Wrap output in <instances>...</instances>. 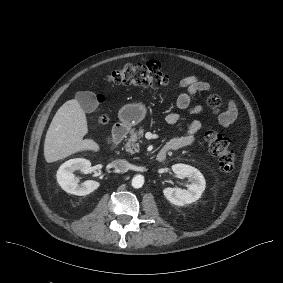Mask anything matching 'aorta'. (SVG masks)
<instances>
[{"label":"aorta","mask_w":283,"mask_h":283,"mask_svg":"<svg viewBox=\"0 0 283 283\" xmlns=\"http://www.w3.org/2000/svg\"><path fill=\"white\" fill-rule=\"evenodd\" d=\"M131 184L133 188H141L144 184V177L142 175H135Z\"/></svg>","instance_id":"1"}]
</instances>
